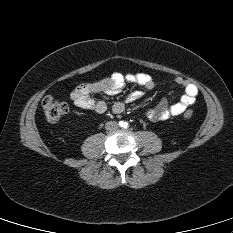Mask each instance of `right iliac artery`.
<instances>
[{
  "label": "right iliac artery",
  "mask_w": 233,
  "mask_h": 233,
  "mask_svg": "<svg viewBox=\"0 0 233 233\" xmlns=\"http://www.w3.org/2000/svg\"><path fill=\"white\" fill-rule=\"evenodd\" d=\"M119 125H120V126H123V122H122V121H121V122H119Z\"/></svg>",
  "instance_id": "82829eb1"
}]
</instances>
